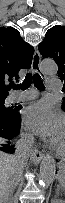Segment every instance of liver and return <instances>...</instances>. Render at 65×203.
<instances>
[{"label":"liver","mask_w":65,"mask_h":203,"mask_svg":"<svg viewBox=\"0 0 65 203\" xmlns=\"http://www.w3.org/2000/svg\"><path fill=\"white\" fill-rule=\"evenodd\" d=\"M4 142V140H1ZM17 160L15 155L0 153V200L8 198L12 192V182L15 178Z\"/></svg>","instance_id":"obj_1"}]
</instances>
